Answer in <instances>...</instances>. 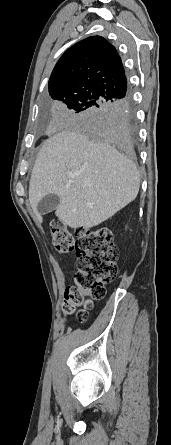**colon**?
<instances>
[{"label": "colon", "mask_w": 171, "mask_h": 445, "mask_svg": "<svg viewBox=\"0 0 171 445\" xmlns=\"http://www.w3.org/2000/svg\"><path fill=\"white\" fill-rule=\"evenodd\" d=\"M55 250L65 256L76 251L78 272L75 286L68 287L62 304L65 314L76 313L80 320L89 316L92 300L106 295L105 283L115 279L118 249L108 229H80L75 239L56 221L51 226Z\"/></svg>", "instance_id": "5ec220e1"}]
</instances>
